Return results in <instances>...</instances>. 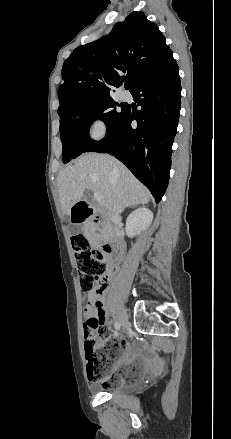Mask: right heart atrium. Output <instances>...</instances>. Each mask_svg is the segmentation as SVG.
<instances>
[{
	"mask_svg": "<svg viewBox=\"0 0 231 439\" xmlns=\"http://www.w3.org/2000/svg\"><path fill=\"white\" fill-rule=\"evenodd\" d=\"M108 132V123L101 115L92 117L88 125L89 138L94 141L103 139Z\"/></svg>",
	"mask_w": 231,
	"mask_h": 439,
	"instance_id": "1",
	"label": "right heart atrium"
}]
</instances>
